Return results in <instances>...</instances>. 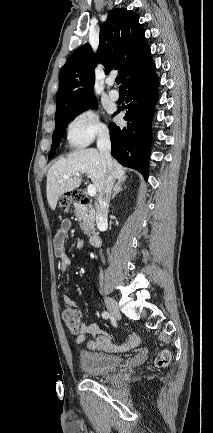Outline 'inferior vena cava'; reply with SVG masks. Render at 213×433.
<instances>
[{
  "mask_svg": "<svg viewBox=\"0 0 213 433\" xmlns=\"http://www.w3.org/2000/svg\"><path fill=\"white\" fill-rule=\"evenodd\" d=\"M97 148L100 154L102 155V157L105 158L108 166V175L106 177L104 187L98 195L97 202L95 205L96 222L98 224V227L100 228L102 225L107 224V214H108V207L110 202V195L114 184V176L112 172V159L110 154L111 142H110L108 132H102L99 134L97 140Z\"/></svg>",
  "mask_w": 213,
  "mask_h": 433,
  "instance_id": "602c4592",
  "label": "inferior vena cava"
}]
</instances>
